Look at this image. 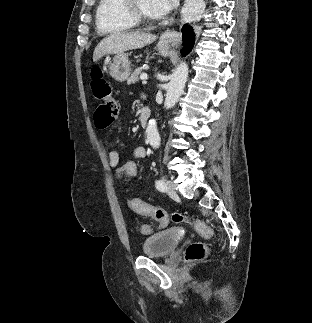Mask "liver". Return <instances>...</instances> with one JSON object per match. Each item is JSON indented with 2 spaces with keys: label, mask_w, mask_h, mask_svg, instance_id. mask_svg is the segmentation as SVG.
I'll return each mask as SVG.
<instances>
[{
  "label": "liver",
  "mask_w": 312,
  "mask_h": 323,
  "mask_svg": "<svg viewBox=\"0 0 312 323\" xmlns=\"http://www.w3.org/2000/svg\"><path fill=\"white\" fill-rule=\"evenodd\" d=\"M156 38L157 36H152V34H139V32L109 34L97 44L93 52V62H98L106 54H124L127 50L144 48L147 44H152Z\"/></svg>",
  "instance_id": "obj_1"
}]
</instances>
